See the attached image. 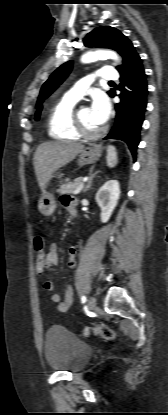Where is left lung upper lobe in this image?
Segmentation results:
<instances>
[{"label":"left lung upper lobe","instance_id":"1","mask_svg":"<svg viewBox=\"0 0 168 415\" xmlns=\"http://www.w3.org/2000/svg\"><path fill=\"white\" fill-rule=\"evenodd\" d=\"M84 45L86 47L111 48L118 51L123 57V66L117 67L120 72L128 65L130 60L137 55L131 41L113 27L102 26L95 28L84 38ZM71 69L72 61H68L52 73L41 88L37 106H40V104L66 79ZM112 91L113 89L107 93L111 95Z\"/></svg>","mask_w":168,"mask_h":415}]
</instances>
